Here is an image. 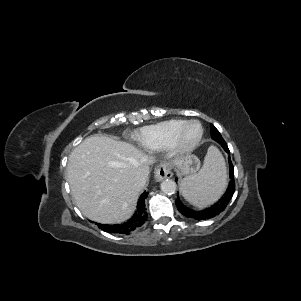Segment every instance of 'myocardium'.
Listing matches in <instances>:
<instances>
[{
  "mask_svg": "<svg viewBox=\"0 0 301 301\" xmlns=\"http://www.w3.org/2000/svg\"><path fill=\"white\" fill-rule=\"evenodd\" d=\"M192 125H198L200 128V132L193 141L187 142L185 140V135H186L187 130ZM203 136H204L203 125L197 120H189L177 132V134L173 138L171 144L169 145L168 149L171 152V154L176 155V156L187 155V154L193 152L198 147Z\"/></svg>",
  "mask_w": 301,
  "mask_h": 301,
  "instance_id": "myocardium-1",
  "label": "myocardium"
}]
</instances>
